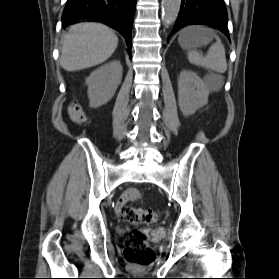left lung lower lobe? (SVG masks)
<instances>
[{
	"instance_id": "0a47b994",
	"label": "left lung lower lobe",
	"mask_w": 279,
	"mask_h": 279,
	"mask_svg": "<svg viewBox=\"0 0 279 279\" xmlns=\"http://www.w3.org/2000/svg\"><path fill=\"white\" fill-rule=\"evenodd\" d=\"M227 22L224 0H182L172 33L187 25L202 24L219 29L230 39Z\"/></svg>"
}]
</instances>
